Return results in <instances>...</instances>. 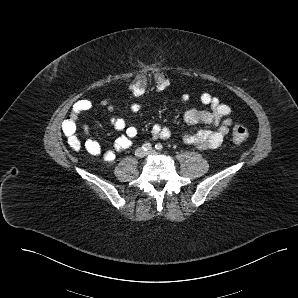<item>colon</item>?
<instances>
[{
    "instance_id": "obj_1",
    "label": "colon",
    "mask_w": 298,
    "mask_h": 298,
    "mask_svg": "<svg viewBox=\"0 0 298 298\" xmlns=\"http://www.w3.org/2000/svg\"><path fill=\"white\" fill-rule=\"evenodd\" d=\"M155 86L159 90L166 89L170 84V79L165 71H157L154 73ZM149 76L147 73L138 72L133 78L129 90L137 97L144 95L148 89ZM62 129L67 137L69 145L77 150L81 147V140L79 137V125L77 119L72 118L70 115L66 117L63 122ZM249 136L248 129L241 123H236L232 127L231 141L235 145L244 143Z\"/></svg>"
}]
</instances>
